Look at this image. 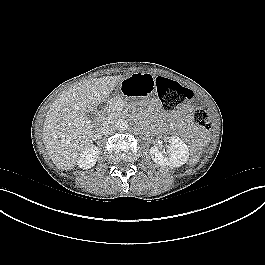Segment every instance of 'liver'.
<instances>
[{"label":"liver","instance_id":"obj_1","mask_svg":"<svg viewBox=\"0 0 265 265\" xmlns=\"http://www.w3.org/2000/svg\"><path fill=\"white\" fill-rule=\"evenodd\" d=\"M122 80L119 75L79 82L53 102L44 121L43 142L59 169H73L91 146L93 125L86 114L106 101Z\"/></svg>","mask_w":265,"mask_h":265}]
</instances>
